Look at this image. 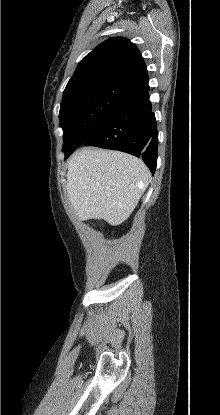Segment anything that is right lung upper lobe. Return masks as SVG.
<instances>
[{
  "label": "right lung upper lobe",
  "instance_id": "cb5924a9",
  "mask_svg": "<svg viewBox=\"0 0 220 415\" xmlns=\"http://www.w3.org/2000/svg\"><path fill=\"white\" fill-rule=\"evenodd\" d=\"M107 77L139 88L148 83L147 68L141 53L127 38L113 37L99 44L80 61L66 88Z\"/></svg>",
  "mask_w": 220,
  "mask_h": 415
}]
</instances>
